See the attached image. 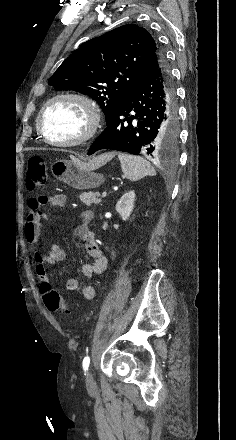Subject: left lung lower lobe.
Instances as JSON below:
<instances>
[{
	"label": "left lung lower lobe",
	"mask_w": 236,
	"mask_h": 440,
	"mask_svg": "<svg viewBox=\"0 0 236 440\" xmlns=\"http://www.w3.org/2000/svg\"><path fill=\"white\" fill-rule=\"evenodd\" d=\"M177 122L176 90L170 68L165 56L157 55L151 58L144 75L91 145L88 155L100 149L150 154L162 144L176 140Z\"/></svg>",
	"instance_id": "obj_1"
}]
</instances>
